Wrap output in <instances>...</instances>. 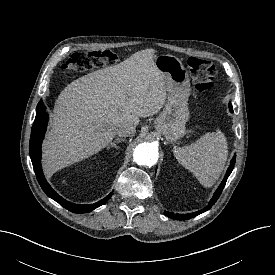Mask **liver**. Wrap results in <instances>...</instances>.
<instances>
[{
  "instance_id": "1",
  "label": "liver",
  "mask_w": 275,
  "mask_h": 275,
  "mask_svg": "<svg viewBox=\"0 0 275 275\" xmlns=\"http://www.w3.org/2000/svg\"><path fill=\"white\" fill-rule=\"evenodd\" d=\"M155 50L134 53L120 64L82 76L58 96L43 144L47 171L83 160L105 148L121 123L157 114L166 101L164 76Z\"/></svg>"
}]
</instances>
